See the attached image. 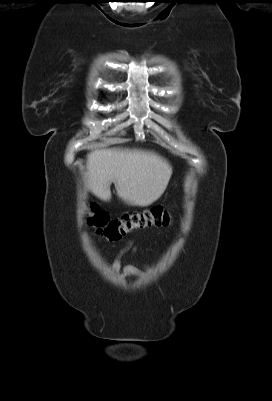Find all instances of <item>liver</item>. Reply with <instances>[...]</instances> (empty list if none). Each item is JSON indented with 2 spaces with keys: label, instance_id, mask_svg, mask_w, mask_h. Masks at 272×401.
Masks as SVG:
<instances>
[{
  "label": "liver",
  "instance_id": "1",
  "mask_svg": "<svg viewBox=\"0 0 272 401\" xmlns=\"http://www.w3.org/2000/svg\"><path fill=\"white\" fill-rule=\"evenodd\" d=\"M87 185L99 199H111L110 185L125 202L149 206L166 190L172 167L152 151L103 148L87 155Z\"/></svg>",
  "mask_w": 272,
  "mask_h": 401
}]
</instances>
